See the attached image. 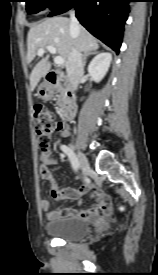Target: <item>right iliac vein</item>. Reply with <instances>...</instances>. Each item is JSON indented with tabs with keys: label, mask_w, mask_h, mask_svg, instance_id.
I'll use <instances>...</instances> for the list:
<instances>
[{
	"label": "right iliac vein",
	"mask_w": 158,
	"mask_h": 275,
	"mask_svg": "<svg viewBox=\"0 0 158 275\" xmlns=\"http://www.w3.org/2000/svg\"><path fill=\"white\" fill-rule=\"evenodd\" d=\"M77 159H78V162L82 169L83 174L87 175L90 171V165H89L88 160L81 152H77Z\"/></svg>",
	"instance_id": "63e3f726"
}]
</instances>
